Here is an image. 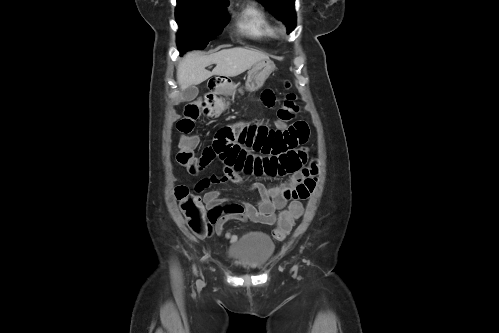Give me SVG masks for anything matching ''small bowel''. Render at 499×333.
<instances>
[{
	"label": "small bowel",
	"mask_w": 499,
	"mask_h": 333,
	"mask_svg": "<svg viewBox=\"0 0 499 333\" xmlns=\"http://www.w3.org/2000/svg\"><path fill=\"white\" fill-rule=\"evenodd\" d=\"M274 94L263 93V101L273 106ZM310 135L306 121L298 120L280 129L255 123H236L222 127L199 158L200 170H204L215 158L223 165L222 174H211L199 181L195 190H207L203 202L216 235L231 244L238 241L237 235L226 232L224 225L230 221L248 220L275 225L277 211L285 208L290 200L307 199L316 185L318 166L309 162V150L305 146ZM288 176L287 182L264 185L255 183L256 205L249 202L229 201L212 187L225 182L240 183L243 175Z\"/></svg>",
	"instance_id": "c3829d8e"
}]
</instances>
